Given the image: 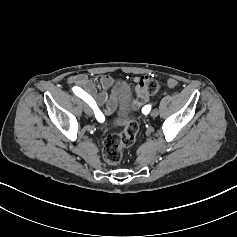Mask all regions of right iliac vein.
<instances>
[{"instance_id": "right-iliac-vein-1", "label": "right iliac vein", "mask_w": 237, "mask_h": 237, "mask_svg": "<svg viewBox=\"0 0 237 237\" xmlns=\"http://www.w3.org/2000/svg\"><path fill=\"white\" fill-rule=\"evenodd\" d=\"M83 109H84V112H85L87 115L90 116V115L93 114L92 109H91L87 104H84Z\"/></svg>"}]
</instances>
